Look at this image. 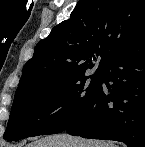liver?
<instances>
[{
    "label": "liver",
    "instance_id": "1",
    "mask_svg": "<svg viewBox=\"0 0 145 147\" xmlns=\"http://www.w3.org/2000/svg\"><path fill=\"white\" fill-rule=\"evenodd\" d=\"M26 147H118L112 142L87 140L67 134L50 135L27 144Z\"/></svg>",
    "mask_w": 145,
    "mask_h": 147
}]
</instances>
